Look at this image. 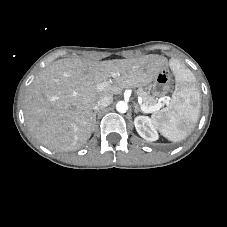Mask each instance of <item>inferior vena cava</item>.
<instances>
[{
  "instance_id": "602c4592",
  "label": "inferior vena cava",
  "mask_w": 227,
  "mask_h": 227,
  "mask_svg": "<svg viewBox=\"0 0 227 227\" xmlns=\"http://www.w3.org/2000/svg\"><path fill=\"white\" fill-rule=\"evenodd\" d=\"M113 101V96L111 94L103 95L93 106L95 111H99L107 106H109Z\"/></svg>"
}]
</instances>
